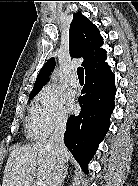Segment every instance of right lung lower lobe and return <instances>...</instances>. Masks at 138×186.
<instances>
[{
    "label": "right lung lower lobe",
    "mask_w": 138,
    "mask_h": 186,
    "mask_svg": "<svg viewBox=\"0 0 138 186\" xmlns=\"http://www.w3.org/2000/svg\"><path fill=\"white\" fill-rule=\"evenodd\" d=\"M114 74L85 78L78 102L81 112L67 121L64 143L84 172L110 126L116 95Z\"/></svg>",
    "instance_id": "98d812e1"
}]
</instances>
